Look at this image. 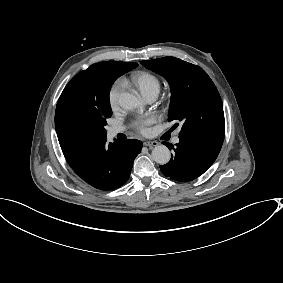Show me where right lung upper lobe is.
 I'll list each match as a JSON object with an SVG mask.
<instances>
[{"label":"right lung upper lobe","instance_id":"1","mask_svg":"<svg viewBox=\"0 0 283 283\" xmlns=\"http://www.w3.org/2000/svg\"><path fill=\"white\" fill-rule=\"evenodd\" d=\"M137 63L104 61L78 73L63 90L55 112V128L62 152L72 169L82 165L106 143V130L91 116L109 102L112 83Z\"/></svg>","mask_w":283,"mask_h":283}]
</instances>
